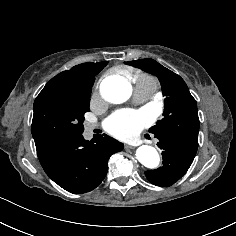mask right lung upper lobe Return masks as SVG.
Wrapping results in <instances>:
<instances>
[{
	"instance_id": "cb5924a9",
	"label": "right lung upper lobe",
	"mask_w": 236,
	"mask_h": 236,
	"mask_svg": "<svg viewBox=\"0 0 236 236\" xmlns=\"http://www.w3.org/2000/svg\"><path fill=\"white\" fill-rule=\"evenodd\" d=\"M108 61L98 63H83L61 72L53 77L43 88L40 94L52 93L60 95H87L91 94L95 75L98 74Z\"/></svg>"
}]
</instances>
